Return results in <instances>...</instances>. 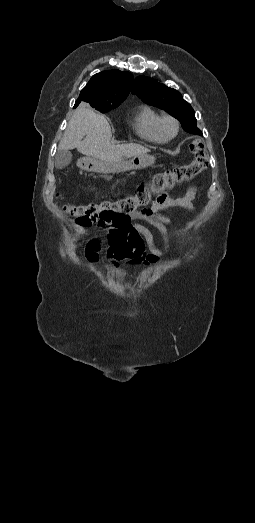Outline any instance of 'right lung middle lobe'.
I'll use <instances>...</instances> for the list:
<instances>
[{
  "label": "right lung middle lobe",
  "mask_w": 255,
  "mask_h": 523,
  "mask_svg": "<svg viewBox=\"0 0 255 523\" xmlns=\"http://www.w3.org/2000/svg\"><path fill=\"white\" fill-rule=\"evenodd\" d=\"M121 102H115V103H100V104H94L91 105L96 110L100 111L101 113H106L110 111L111 109L116 108L120 105Z\"/></svg>",
  "instance_id": "obj_1"
}]
</instances>
